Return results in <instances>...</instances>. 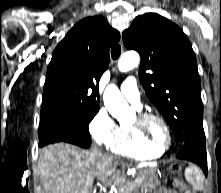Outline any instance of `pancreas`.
Masks as SVG:
<instances>
[{
  "instance_id": "pancreas-1",
  "label": "pancreas",
  "mask_w": 221,
  "mask_h": 193,
  "mask_svg": "<svg viewBox=\"0 0 221 193\" xmlns=\"http://www.w3.org/2000/svg\"><path fill=\"white\" fill-rule=\"evenodd\" d=\"M141 179V184L138 186H132L131 182L128 181L125 188L127 190H124L123 193H132L133 191H136L138 188H141L145 192H149L152 189L156 187V185H159L160 182L158 180V175L156 173V170L154 168H143L138 172V177Z\"/></svg>"
}]
</instances>
